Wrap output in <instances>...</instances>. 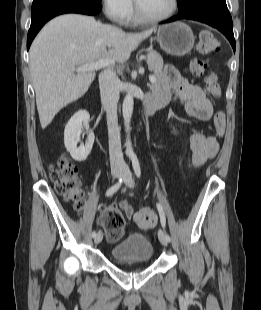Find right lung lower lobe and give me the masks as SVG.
<instances>
[{"label":"right lung lower lobe","mask_w":261,"mask_h":310,"mask_svg":"<svg viewBox=\"0 0 261 310\" xmlns=\"http://www.w3.org/2000/svg\"><path fill=\"white\" fill-rule=\"evenodd\" d=\"M102 9L99 3L83 0H48L32 6L31 26L27 36V49L42 26L51 18L65 13L96 15Z\"/></svg>","instance_id":"1"}]
</instances>
